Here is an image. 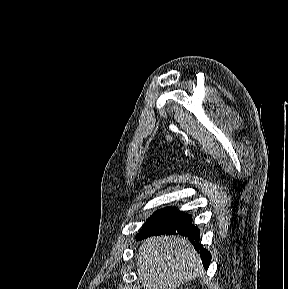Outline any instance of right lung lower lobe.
Returning a JSON list of instances; mask_svg holds the SVG:
<instances>
[{"label":"right lung lower lobe","instance_id":"98d812e1","mask_svg":"<svg viewBox=\"0 0 288 289\" xmlns=\"http://www.w3.org/2000/svg\"><path fill=\"white\" fill-rule=\"evenodd\" d=\"M161 234H180L187 236L197 251H199L204 267L206 269L208 268L211 261V254L200 246V232L197 227L192 225L191 215L180 212L174 207L147 225L142 232L137 235L136 239L142 240L150 236Z\"/></svg>","mask_w":288,"mask_h":289}]
</instances>
